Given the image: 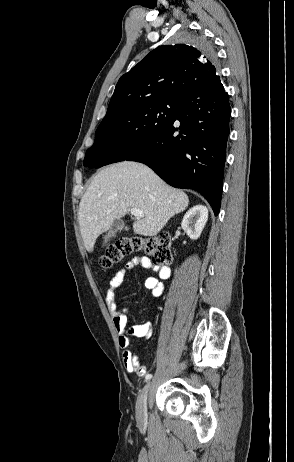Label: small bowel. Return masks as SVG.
I'll return each instance as SVG.
<instances>
[{
  "instance_id": "1",
  "label": "small bowel",
  "mask_w": 294,
  "mask_h": 462,
  "mask_svg": "<svg viewBox=\"0 0 294 462\" xmlns=\"http://www.w3.org/2000/svg\"><path fill=\"white\" fill-rule=\"evenodd\" d=\"M137 267L152 269L157 273L156 277H149L145 280V287L151 290L154 297H159L163 294L164 285L162 281L170 276V268L166 265L153 264L147 257H135L129 261L124 268L118 270L110 279L106 291L105 302L118 334V344L123 351L122 359L126 371L129 373H136L138 376H144L147 368L141 363L137 355L130 350V338L137 337L149 339L153 332L152 324L150 322H143L128 328L127 314L129 308H119L116 297V292L124 283L127 272L133 271Z\"/></svg>"
}]
</instances>
